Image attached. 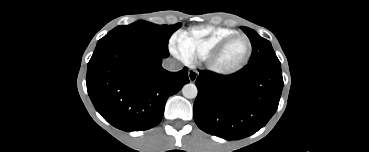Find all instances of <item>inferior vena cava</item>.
Listing matches in <instances>:
<instances>
[{
    "label": "inferior vena cava",
    "mask_w": 369,
    "mask_h": 152,
    "mask_svg": "<svg viewBox=\"0 0 369 152\" xmlns=\"http://www.w3.org/2000/svg\"><path fill=\"white\" fill-rule=\"evenodd\" d=\"M163 68L171 72H177L182 69V65L175 59L167 58L163 61Z\"/></svg>",
    "instance_id": "1"
}]
</instances>
